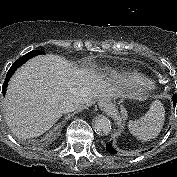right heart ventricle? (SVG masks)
Returning <instances> with one entry per match:
<instances>
[{"label": "right heart ventricle", "instance_id": "e07e8e85", "mask_svg": "<svg viewBox=\"0 0 177 177\" xmlns=\"http://www.w3.org/2000/svg\"><path fill=\"white\" fill-rule=\"evenodd\" d=\"M119 75H123V73H120ZM132 75H133V77H135V78H137V79L140 80L139 84H140L141 86H143L144 88H145L146 86H148V85H152V83H151L150 81H148L147 79H145L144 77H142L140 74H138V73H133Z\"/></svg>", "mask_w": 177, "mask_h": 177}]
</instances>
